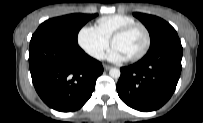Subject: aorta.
<instances>
[{"label": "aorta", "instance_id": "762f6f07", "mask_svg": "<svg viewBox=\"0 0 203 123\" xmlns=\"http://www.w3.org/2000/svg\"><path fill=\"white\" fill-rule=\"evenodd\" d=\"M120 70L118 68H112L109 71V75L114 78V79H118L120 77Z\"/></svg>", "mask_w": 203, "mask_h": 123}]
</instances>
